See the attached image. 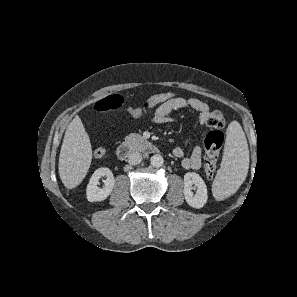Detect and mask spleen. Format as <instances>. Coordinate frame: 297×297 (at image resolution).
Here are the masks:
<instances>
[{"label":"spleen","instance_id":"spleen-1","mask_svg":"<svg viewBox=\"0 0 297 297\" xmlns=\"http://www.w3.org/2000/svg\"><path fill=\"white\" fill-rule=\"evenodd\" d=\"M226 134L224 155L215 179V197L234 193L245 180L249 168L248 144L241 125L231 122ZM217 183L221 191L215 190Z\"/></svg>","mask_w":297,"mask_h":297}]
</instances>
